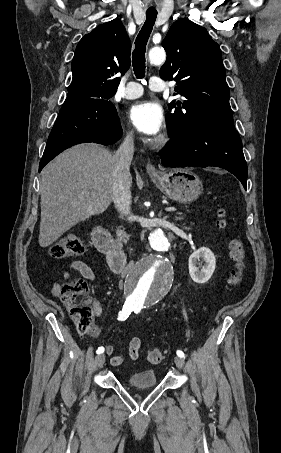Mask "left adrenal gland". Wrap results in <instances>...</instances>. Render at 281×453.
<instances>
[{
    "label": "left adrenal gland",
    "mask_w": 281,
    "mask_h": 453,
    "mask_svg": "<svg viewBox=\"0 0 281 453\" xmlns=\"http://www.w3.org/2000/svg\"><path fill=\"white\" fill-rule=\"evenodd\" d=\"M176 220H181V216H176Z\"/></svg>",
    "instance_id": "left-adrenal-gland-1"
}]
</instances>
